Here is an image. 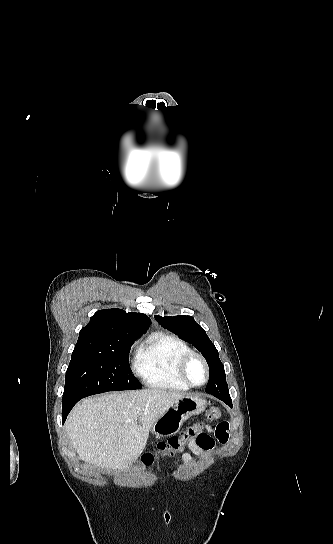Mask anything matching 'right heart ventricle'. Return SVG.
<instances>
[{
    "label": "right heart ventricle",
    "mask_w": 333,
    "mask_h": 544,
    "mask_svg": "<svg viewBox=\"0 0 333 544\" xmlns=\"http://www.w3.org/2000/svg\"><path fill=\"white\" fill-rule=\"evenodd\" d=\"M191 348L181 338L167 333L149 335L138 349L135 370L142 382L151 388L186 391L177 375V365Z\"/></svg>",
    "instance_id": "right-heart-ventricle-1"
}]
</instances>
